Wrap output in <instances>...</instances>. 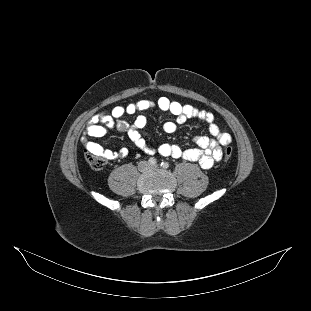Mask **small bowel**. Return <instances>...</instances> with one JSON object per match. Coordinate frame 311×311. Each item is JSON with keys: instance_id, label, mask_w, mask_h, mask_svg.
Returning <instances> with one entry per match:
<instances>
[{"instance_id": "1", "label": "small bowel", "mask_w": 311, "mask_h": 311, "mask_svg": "<svg viewBox=\"0 0 311 311\" xmlns=\"http://www.w3.org/2000/svg\"><path fill=\"white\" fill-rule=\"evenodd\" d=\"M154 108L169 112L175 118L174 121H167L163 124V130L166 133H173L177 125L183 124L189 119H197L208 125L211 137H195L194 142L197 148L187 150H183L178 145L169 143H163L157 149L149 147L140 132L146 126V117L144 115H138L131 125L123 118L125 115H133L138 111ZM110 130L126 133L133 144L147 154L153 155L157 153L162 156L198 162L204 169H209L216 162L221 161L222 146L228 145L232 141L230 134L223 132L217 126L212 113L192 105L181 104L167 97H160L156 100L142 99L129 103L126 106H116L110 114L98 113L92 116L85 127L81 142L87 150L102 154L106 159L127 156V149H120L115 152L104 149L100 144L90 140V138L104 137Z\"/></svg>"}]
</instances>
